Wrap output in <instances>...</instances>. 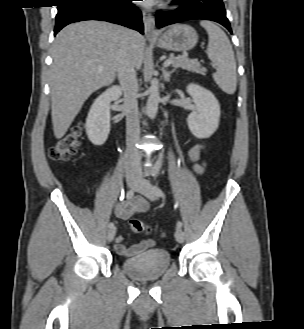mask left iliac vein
I'll return each mask as SVG.
<instances>
[{"label": "left iliac vein", "instance_id": "4c4485c4", "mask_svg": "<svg viewBox=\"0 0 304 329\" xmlns=\"http://www.w3.org/2000/svg\"><path fill=\"white\" fill-rule=\"evenodd\" d=\"M136 190H137V192L141 193L142 195H144L151 201H154L157 198V195L154 192V187L148 180H146L144 178H141L139 180V182L136 186ZM175 238H176L177 242H179V243L184 242L185 234H184L183 230L181 229V227L176 228Z\"/></svg>", "mask_w": 304, "mask_h": 329}]
</instances>
